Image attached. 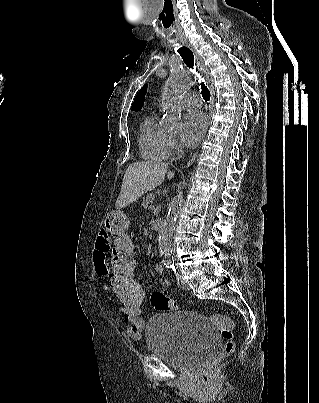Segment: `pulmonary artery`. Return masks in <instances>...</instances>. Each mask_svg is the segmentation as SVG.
I'll list each match as a JSON object with an SVG mask.
<instances>
[{
    "mask_svg": "<svg viewBox=\"0 0 319 403\" xmlns=\"http://www.w3.org/2000/svg\"><path fill=\"white\" fill-rule=\"evenodd\" d=\"M181 102L185 107L191 110H197L201 106L200 98L197 94L192 92L185 94Z\"/></svg>",
    "mask_w": 319,
    "mask_h": 403,
    "instance_id": "obj_1",
    "label": "pulmonary artery"
}]
</instances>
